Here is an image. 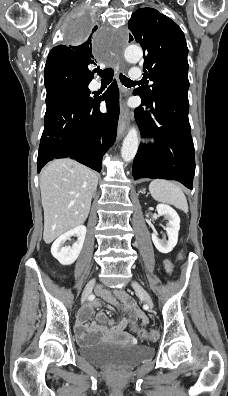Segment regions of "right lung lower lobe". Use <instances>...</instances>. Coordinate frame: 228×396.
<instances>
[{"instance_id":"98d812e1","label":"right lung lower lobe","mask_w":228,"mask_h":396,"mask_svg":"<svg viewBox=\"0 0 228 396\" xmlns=\"http://www.w3.org/2000/svg\"><path fill=\"white\" fill-rule=\"evenodd\" d=\"M104 100L108 114L99 110ZM119 116V92L114 81L102 98L71 95L46 110L37 170L55 158H71L98 172L114 143Z\"/></svg>"}]
</instances>
